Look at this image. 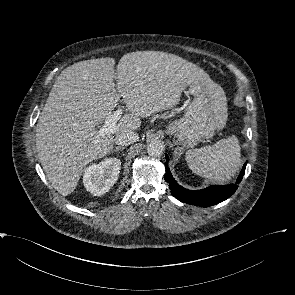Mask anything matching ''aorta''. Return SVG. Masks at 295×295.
<instances>
[{
    "instance_id": "aorta-1",
    "label": "aorta",
    "mask_w": 295,
    "mask_h": 295,
    "mask_svg": "<svg viewBox=\"0 0 295 295\" xmlns=\"http://www.w3.org/2000/svg\"><path fill=\"white\" fill-rule=\"evenodd\" d=\"M165 151V145L162 141L154 139L147 145V153L153 157L161 156Z\"/></svg>"
}]
</instances>
